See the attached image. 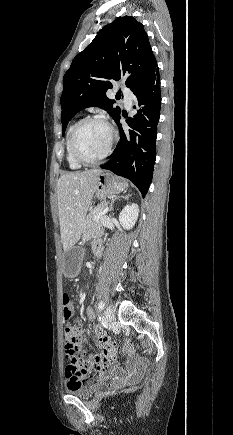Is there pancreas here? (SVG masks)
<instances>
[{
    "mask_svg": "<svg viewBox=\"0 0 233 435\" xmlns=\"http://www.w3.org/2000/svg\"><path fill=\"white\" fill-rule=\"evenodd\" d=\"M105 208L106 204H102L86 216L83 224V240H90L96 236L104 234V229L102 226V220L104 216L98 221H94V218L97 217Z\"/></svg>",
    "mask_w": 233,
    "mask_h": 435,
    "instance_id": "pancreas-1",
    "label": "pancreas"
}]
</instances>
